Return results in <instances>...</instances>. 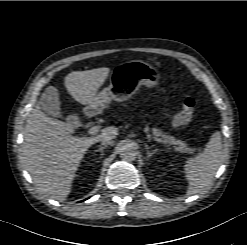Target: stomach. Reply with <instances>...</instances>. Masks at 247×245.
I'll return each mask as SVG.
<instances>
[{"label":"stomach","mask_w":247,"mask_h":245,"mask_svg":"<svg viewBox=\"0 0 247 245\" xmlns=\"http://www.w3.org/2000/svg\"><path fill=\"white\" fill-rule=\"evenodd\" d=\"M161 75L149 63L133 60L114 67L110 75V84L100 92L101 108L109 101H126L134 95L141 85L156 87Z\"/></svg>","instance_id":"obj_1"}]
</instances>
